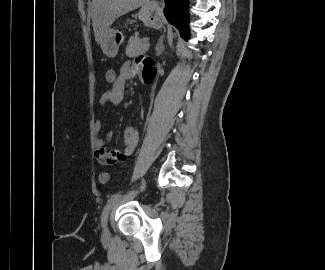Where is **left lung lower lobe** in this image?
Instances as JSON below:
<instances>
[{
  "label": "left lung lower lobe",
  "mask_w": 325,
  "mask_h": 270,
  "mask_svg": "<svg viewBox=\"0 0 325 270\" xmlns=\"http://www.w3.org/2000/svg\"><path fill=\"white\" fill-rule=\"evenodd\" d=\"M164 15L174 25L184 39L189 38L188 3L189 0H164Z\"/></svg>",
  "instance_id": "0a47b994"
}]
</instances>
